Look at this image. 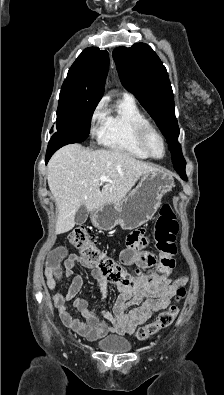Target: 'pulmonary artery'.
Returning a JSON list of instances; mask_svg holds the SVG:
<instances>
[{
  "instance_id": "pulmonary-artery-1",
  "label": "pulmonary artery",
  "mask_w": 224,
  "mask_h": 395,
  "mask_svg": "<svg viewBox=\"0 0 224 395\" xmlns=\"http://www.w3.org/2000/svg\"><path fill=\"white\" fill-rule=\"evenodd\" d=\"M123 97H126V98H129V99L134 100V96H133L132 94H130V93H127V92H125V93L123 94Z\"/></svg>"
}]
</instances>
